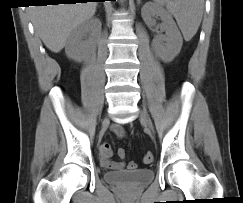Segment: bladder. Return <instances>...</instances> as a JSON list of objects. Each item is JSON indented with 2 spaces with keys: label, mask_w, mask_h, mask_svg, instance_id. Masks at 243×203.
Instances as JSON below:
<instances>
[{
  "label": "bladder",
  "mask_w": 243,
  "mask_h": 203,
  "mask_svg": "<svg viewBox=\"0 0 243 203\" xmlns=\"http://www.w3.org/2000/svg\"><path fill=\"white\" fill-rule=\"evenodd\" d=\"M104 181L108 184L137 187L149 184L154 179L152 169L107 171L103 174Z\"/></svg>",
  "instance_id": "31cf9c89"
}]
</instances>
